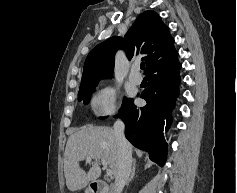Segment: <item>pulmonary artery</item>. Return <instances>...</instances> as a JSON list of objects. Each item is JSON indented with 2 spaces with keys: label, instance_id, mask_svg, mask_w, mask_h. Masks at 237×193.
I'll list each match as a JSON object with an SVG mask.
<instances>
[{
  "label": "pulmonary artery",
  "instance_id": "e3ab8cb5",
  "mask_svg": "<svg viewBox=\"0 0 237 193\" xmlns=\"http://www.w3.org/2000/svg\"><path fill=\"white\" fill-rule=\"evenodd\" d=\"M139 66L133 65L131 73L129 74V81L135 85H139L142 82V76L138 73Z\"/></svg>",
  "mask_w": 237,
  "mask_h": 193
}]
</instances>
